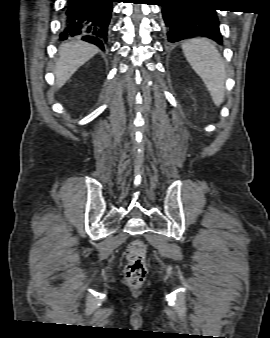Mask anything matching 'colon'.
I'll use <instances>...</instances> for the list:
<instances>
[{"mask_svg": "<svg viewBox=\"0 0 270 338\" xmlns=\"http://www.w3.org/2000/svg\"><path fill=\"white\" fill-rule=\"evenodd\" d=\"M146 274V246L142 241L134 240L126 249L125 280L130 287L138 288L144 283Z\"/></svg>", "mask_w": 270, "mask_h": 338, "instance_id": "colon-1", "label": "colon"}]
</instances>
